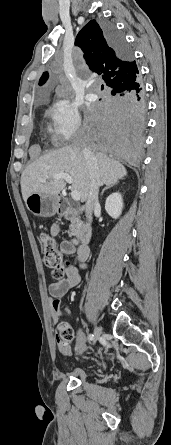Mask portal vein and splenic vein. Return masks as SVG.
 I'll use <instances>...</instances> for the list:
<instances>
[{"instance_id":"18ae733b","label":"portal vein and splenic vein","mask_w":171,"mask_h":445,"mask_svg":"<svg viewBox=\"0 0 171 445\" xmlns=\"http://www.w3.org/2000/svg\"><path fill=\"white\" fill-rule=\"evenodd\" d=\"M52 178L55 180L64 179L69 184H72L73 182L72 177L67 173L55 174ZM44 182H46V180H44ZM71 196L75 201H79L81 199L80 192L78 190H72Z\"/></svg>"}]
</instances>
